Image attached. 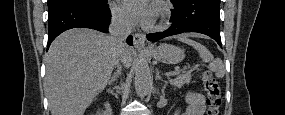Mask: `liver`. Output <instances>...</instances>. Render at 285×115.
I'll return each mask as SVG.
<instances>
[{"label":"liver","mask_w":285,"mask_h":115,"mask_svg":"<svg viewBox=\"0 0 285 115\" xmlns=\"http://www.w3.org/2000/svg\"><path fill=\"white\" fill-rule=\"evenodd\" d=\"M120 54L130 67L132 49L125 46ZM116 58L117 48L105 34L71 29L59 35L46 54L44 86L51 115H84L109 82Z\"/></svg>","instance_id":"1"}]
</instances>
